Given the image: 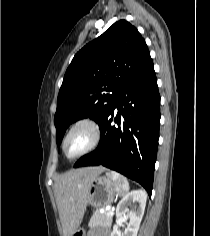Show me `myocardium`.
<instances>
[{"label":"myocardium","mask_w":210,"mask_h":236,"mask_svg":"<svg viewBox=\"0 0 210 236\" xmlns=\"http://www.w3.org/2000/svg\"><path fill=\"white\" fill-rule=\"evenodd\" d=\"M80 126H85L89 129L90 133H91V140L89 142V144L82 149L80 152L76 153L73 156H68L66 153V143L68 138L70 137V135L72 134V132L80 127ZM102 138V129L100 124L93 118L91 117H82L77 119L76 121H74L69 128L67 129V131L65 132L62 142H61V151L63 156L67 159V160H76L84 155H86L87 153L91 152L92 150H94L100 143Z\"/></svg>","instance_id":"obj_1"}]
</instances>
